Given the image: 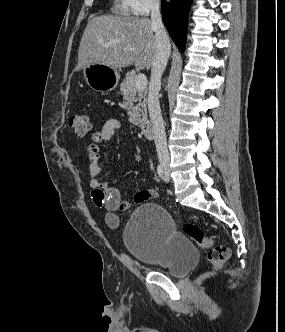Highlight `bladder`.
Here are the masks:
<instances>
[{
    "label": "bladder",
    "instance_id": "bladder-1",
    "mask_svg": "<svg viewBox=\"0 0 285 332\" xmlns=\"http://www.w3.org/2000/svg\"><path fill=\"white\" fill-rule=\"evenodd\" d=\"M128 253L138 262L183 276L198 260V250L175 229L170 213L155 203H143L132 213L123 232Z\"/></svg>",
    "mask_w": 285,
    "mask_h": 332
}]
</instances>
